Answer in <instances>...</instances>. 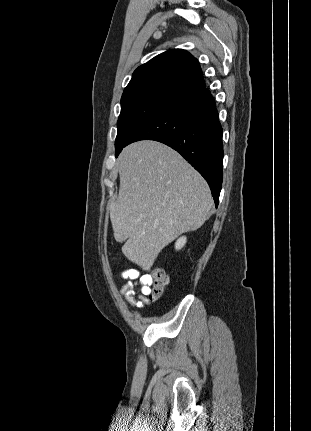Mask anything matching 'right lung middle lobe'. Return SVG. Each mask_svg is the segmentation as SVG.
<instances>
[{"label": "right lung middle lobe", "instance_id": "dd1d6c3e", "mask_svg": "<svg viewBox=\"0 0 311 431\" xmlns=\"http://www.w3.org/2000/svg\"><path fill=\"white\" fill-rule=\"evenodd\" d=\"M178 98L180 96L174 93L153 88L123 94L115 141L116 157L138 127Z\"/></svg>", "mask_w": 311, "mask_h": 431}]
</instances>
